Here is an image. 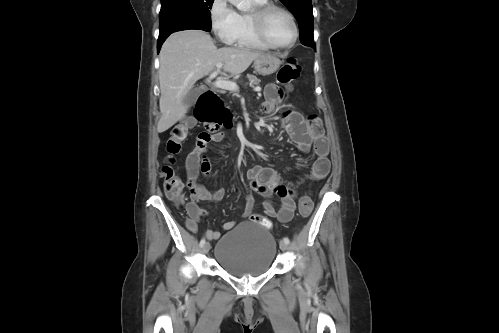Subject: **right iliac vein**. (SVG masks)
I'll return each instance as SVG.
<instances>
[{
	"mask_svg": "<svg viewBox=\"0 0 499 333\" xmlns=\"http://www.w3.org/2000/svg\"><path fill=\"white\" fill-rule=\"evenodd\" d=\"M210 250V243L209 242H206L204 245H203V248H202V251L203 253L207 254Z\"/></svg>",
	"mask_w": 499,
	"mask_h": 333,
	"instance_id": "1",
	"label": "right iliac vein"
}]
</instances>
